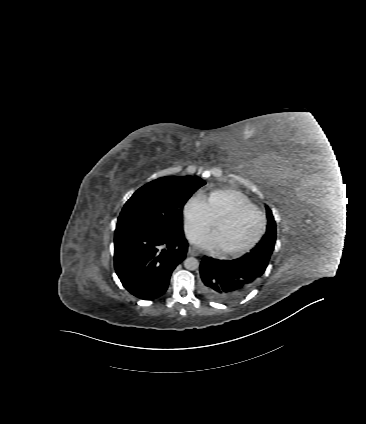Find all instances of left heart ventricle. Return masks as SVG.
<instances>
[{"label": "left heart ventricle", "instance_id": "b2bd125f", "mask_svg": "<svg viewBox=\"0 0 366 424\" xmlns=\"http://www.w3.org/2000/svg\"><path fill=\"white\" fill-rule=\"evenodd\" d=\"M261 225V216L256 211L248 210L233 221L220 225L213 234L221 250H238L256 238Z\"/></svg>", "mask_w": 366, "mask_h": 424}]
</instances>
